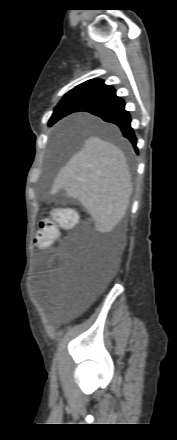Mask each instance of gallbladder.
Returning a JSON list of instances; mask_svg holds the SVG:
<instances>
[{
	"label": "gallbladder",
	"instance_id": "bac80fb5",
	"mask_svg": "<svg viewBox=\"0 0 177 440\" xmlns=\"http://www.w3.org/2000/svg\"><path fill=\"white\" fill-rule=\"evenodd\" d=\"M60 197H61V201L70 200V198L65 193H61Z\"/></svg>",
	"mask_w": 177,
	"mask_h": 440
}]
</instances>
